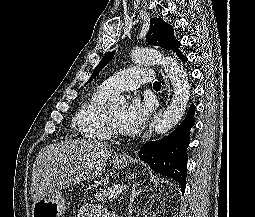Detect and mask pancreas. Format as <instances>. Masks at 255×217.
<instances>
[{
    "label": "pancreas",
    "instance_id": "obj_1",
    "mask_svg": "<svg viewBox=\"0 0 255 217\" xmlns=\"http://www.w3.org/2000/svg\"><path fill=\"white\" fill-rule=\"evenodd\" d=\"M113 186L108 187L104 186L103 188L96 191L93 195V200L98 203H105L108 199H110V195L112 193Z\"/></svg>",
    "mask_w": 255,
    "mask_h": 217
}]
</instances>
